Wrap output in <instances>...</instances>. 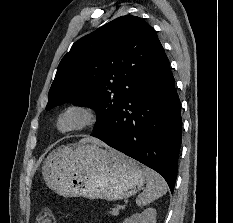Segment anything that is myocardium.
Masks as SVG:
<instances>
[{"label": "myocardium", "instance_id": "1", "mask_svg": "<svg viewBox=\"0 0 233 223\" xmlns=\"http://www.w3.org/2000/svg\"><path fill=\"white\" fill-rule=\"evenodd\" d=\"M70 110H79L83 112L87 116L88 119L87 123L80 128L71 131L61 132L57 129L58 121L64 113ZM100 123H101V114L94 105L85 102H74L66 105L57 113L53 121V129L59 135H75V134L89 132L97 128L100 125Z\"/></svg>", "mask_w": 233, "mask_h": 223}]
</instances>
